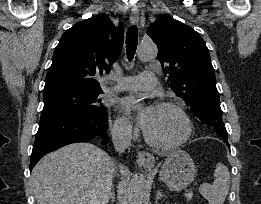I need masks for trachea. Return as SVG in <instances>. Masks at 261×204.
I'll return each mask as SVG.
<instances>
[{
    "label": "trachea",
    "instance_id": "1",
    "mask_svg": "<svg viewBox=\"0 0 261 204\" xmlns=\"http://www.w3.org/2000/svg\"><path fill=\"white\" fill-rule=\"evenodd\" d=\"M138 42L137 26H131L126 33V54L129 61L134 58Z\"/></svg>",
    "mask_w": 261,
    "mask_h": 204
}]
</instances>
